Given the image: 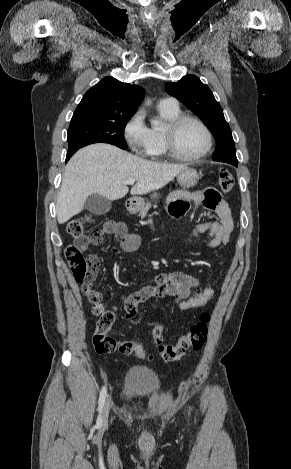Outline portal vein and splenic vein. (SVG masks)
Masks as SVG:
<instances>
[{
    "instance_id": "obj_1",
    "label": "portal vein and splenic vein",
    "mask_w": 291,
    "mask_h": 469,
    "mask_svg": "<svg viewBox=\"0 0 291 469\" xmlns=\"http://www.w3.org/2000/svg\"><path fill=\"white\" fill-rule=\"evenodd\" d=\"M125 183L129 185H133L135 183V179H128Z\"/></svg>"
}]
</instances>
